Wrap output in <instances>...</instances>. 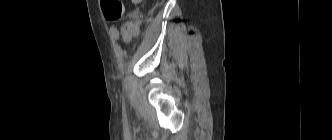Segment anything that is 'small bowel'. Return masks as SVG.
Returning a JSON list of instances; mask_svg holds the SVG:
<instances>
[{
  "label": "small bowel",
  "mask_w": 332,
  "mask_h": 140,
  "mask_svg": "<svg viewBox=\"0 0 332 140\" xmlns=\"http://www.w3.org/2000/svg\"><path fill=\"white\" fill-rule=\"evenodd\" d=\"M134 4H139L142 0H131ZM137 12H131L128 19L120 25L115 24L111 27V37L113 41L120 38L124 43L129 44L139 33V22L137 20Z\"/></svg>",
  "instance_id": "c3829d8e"
}]
</instances>
